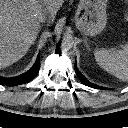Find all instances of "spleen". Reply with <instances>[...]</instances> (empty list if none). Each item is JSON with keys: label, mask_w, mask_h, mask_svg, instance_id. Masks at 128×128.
Segmentation results:
<instances>
[{"label": "spleen", "mask_w": 128, "mask_h": 128, "mask_svg": "<svg viewBox=\"0 0 128 128\" xmlns=\"http://www.w3.org/2000/svg\"><path fill=\"white\" fill-rule=\"evenodd\" d=\"M94 57L105 71L121 81H128V44L118 51L96 50Z\"/></svg>", "instance_id": "spleen-1"}]
</instances>
